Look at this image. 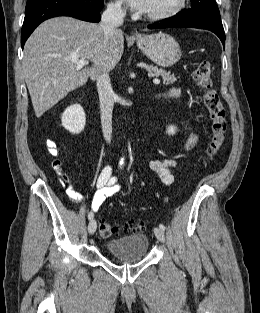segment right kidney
Segmentation results:
<instances>
[{
	"label": "right kidney",
	"mask_w": 260,
	"mask_h": 313,
	"mask_svg": "<svg viewBox=\"0 0 260 313\" xmlns=\"http://www.w3.org/2000/svg\"><path fill=\"white\" fill-rule=\"evenodd\" d=\"M62 126L73 134H79L84 130L86 116L84 109L78 105H72L62 114Z\"/></svg>",
	"instance_id": "1"
}]
</instances>
